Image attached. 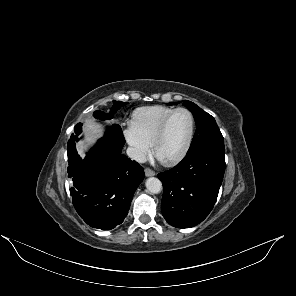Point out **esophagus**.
Returning a JSON list of instances; mask_svg holds the SVG:
<instances>
[{
  "label": "esophagus",
  "mask_w": 296,
  "mask_h": 296,
  "mask_svg": "<svg viewBox=\"0 0 296 296\" xmlns=\"http://www.w3.org/2000/svg\"><path fill=\"white\" fill-rule=\"evenodd\" d=\"M144 172H145V175H146L147 177H150V176H154V175H155V172H154L152 169H150V168H146V169L144 170Z\"/></svg>",
  "instance_id": "esophagus-1"
}]
</instances>
